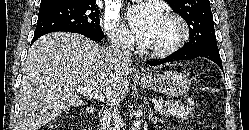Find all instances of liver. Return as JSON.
<instances>
[{
    "instance_id": "obj_1",
    "label": "liver",
    "mask_w": 249,
    "mask_h": 130,
    "mask_svg": "<svg viewBox=\"0 0 249 130\" xmlns=\"http://www.w3.org/2000/svg\"><path fill=\"white\" fill-rule=\"evenodd\" d=\"M132 69L82 35L42 36L29 49L22 68L19 130H39L71 106L84 105L78 86L98 91L105 104L120 103L128 94Z\"/></svg>"
}]
</instances>
